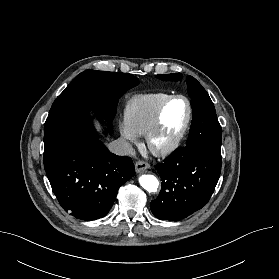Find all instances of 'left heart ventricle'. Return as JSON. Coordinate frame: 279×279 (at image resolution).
<instances>
[{
  "instance_id": "1",
  "label": "left heart ventricle",
  "mask_w": 279,
  "mask_h": 279,
  "mask_svg": "<svg viewBox=\"0 0 279 279\" xmlns=\"http://www.w3.org/2000/svg\"><path fill=\"white\" fill-rule=\"evenodd\" d=\"M187 116V105L184 100L176 99L166 107L162 126L156 137V145H163L172 139L182 128Z\"/></svg>"
}]
</instances>
